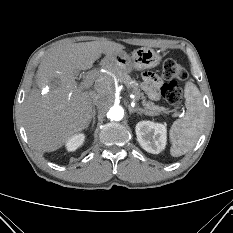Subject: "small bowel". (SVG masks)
Here are the masks:
<instances>
[{
	"mask_svg": "<svg viewBox=\"0 0 233 233\" xmlns=\"http://www.w3.org/2000/svg\"><path fill=\"white\" fill-rule=\"evenodd\" d=\"M142 80V88L148 97L153 101L159 100L160 87L162 85L161 79L151 72H145L142 74Z\"/></svg>",
	"mask_w": 233,
	"mask_h": 233,
	"instance_id": "small-bowel-1",
	"label": "small bowel"
}]
</instances>
